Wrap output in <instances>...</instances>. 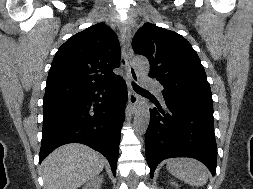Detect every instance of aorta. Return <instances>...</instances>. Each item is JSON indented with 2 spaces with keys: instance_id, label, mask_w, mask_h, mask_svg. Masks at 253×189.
<instances>
[{
  "instance_id": "aorta-1",
  "label": "aorta",
  "mask_w": 253,
  "mask_h": 189,
  "mask_svg": "<svg viewBox=\"0 0 253 189\" xmlns=\"http://www.w3.org/2000/svg\"><path fill=\"white\" fill-rule=\"evenodd\" d=\"M134 66L138 72L148 73L149 72V62L145 58L136 57L133 60ZM150 121V111L149 107L145 102H142L136 109L134 115V129L137 135L145 134Z\"/></svg>"
}]
</instances>
